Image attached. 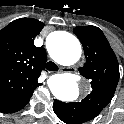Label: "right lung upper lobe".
Segmentation results:
<instances>
[{
    "label": "right lung upper lobe",
    "mask_w": 124,
    "mask_h": 124,
    "mask_svg": "<svg viewBox=\"0 0 124 124\" xmlns=\"http://www.w3.org/2000/svg\"><path fill=\"white\" fill-rule=\"evenodd\" d=\"M44 24L36 19H17L0 30V112L14 113L30 100L41 85L46 52L34 45Z\"/></svg>",
    "instance_id": "obj_1"
}]
</instances>
